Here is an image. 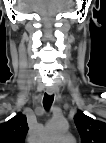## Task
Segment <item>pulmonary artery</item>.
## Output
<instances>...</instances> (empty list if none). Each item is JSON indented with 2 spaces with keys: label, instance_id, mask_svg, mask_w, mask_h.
Masks as SVG:
<instances>
[{
  "label": "pulmonary artery",
  "instance_id": "pulmonary-artery-1",
  "mask_svg": "<svg viewBox=\"0 0 106 143\" xmlns=\"http://www.w3.org/2000/svg\"><path fill=\"white\" fill-rule=\"evenodd\" d=\"M63 140H65V141H72L73 138H72L71 135H67V136L63 137Z\"/></svg>",
  "mask_w": 106,
  "mask_h": 143
}]
</instances>
